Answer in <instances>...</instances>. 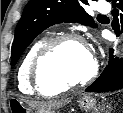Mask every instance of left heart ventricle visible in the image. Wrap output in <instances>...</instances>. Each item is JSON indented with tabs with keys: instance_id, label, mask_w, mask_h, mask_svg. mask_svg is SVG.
<instances>
[{
	"instance_id": "left-heart-ventricle-1",
	"label": "left heart ventricle",
	"mask_w": 123,
	"mask_h": 113,
	"mask_svg": "<svg viewBox=\"0 0 123 113\" xmlns=\"http://www.w3.org/2000/svg\"><path fill=\"white\" fill-rule=\"evenodd\" d=\"M91 66L90 54L83 45L65 42L45 60L42 75L48 84H67L86 76Z\"/></svg>"
}]
</instances>
